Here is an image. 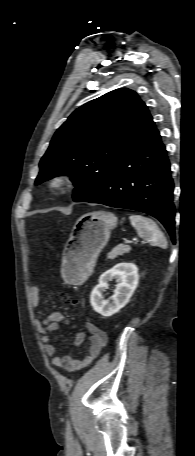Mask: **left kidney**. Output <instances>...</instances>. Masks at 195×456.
Returning a JSON list of instances; mask_svg holds the SVG:
<instances>
[{"mask_svg":"<svg viewBox=\"0 0 195 456\" xmlns=\"http://www.w3.org/2000/svg\"><path fill=\"white\" fill-rule=\"evenodd\" d=\"M115 278L117 281L114 295L110 303L104 299L103 293L108 289V282ZM139 281L138 268L133 263H118L112 269L103 273L99 284L90 295V303L97 313L110 317L123 308L130 300Z\"/></svg>","mask_w":195,"mask_h":456,"instance_id":"left-kidney-1","label":"left kidney"}]
</instances>
